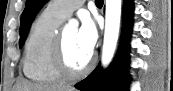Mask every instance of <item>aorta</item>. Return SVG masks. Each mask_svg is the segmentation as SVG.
Segmentation results:
<instances>
[{
    "label": "aorta",
    "mask_w": 173,
    "mask_h": 91,
    "mask_svg": "<svg viewBox=\"0 0 173 91\" xmlns=\"http://www.w3.org/2000/svg\"><path fill=\"white\" fill-rule=\"evenodd\" d=\"M122 0H106L105 33L102 49L104 67L111 62L119 36Z\"/></svg>",
    "instance_id": "aorta-1"
}]
</instances>
